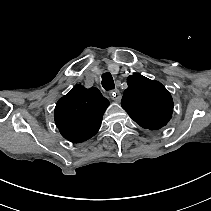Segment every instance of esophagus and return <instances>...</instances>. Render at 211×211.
<instances>
[{
  "label": "esophagus",
  "mask_w": 211,
  "mask_h": 211,
  "mask_svg": "<svg viewBox=\"0 0 211 211\" xmlns=\"http://www.w3.org/2000/svg\"><path fill=\"white\" fill-rule=\"evenodd\" d=\"M110 97L116 101V102H120L122 95L120 93V91L118 89L114 90L113 92L110 93Z\"/></svg>",
  "instance_id": "34e87169"
}]
</instances>
